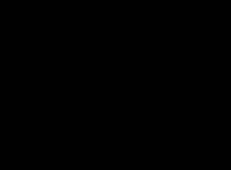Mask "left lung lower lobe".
<instances>
[{"label":"left lung lower lobe","instance_id":"obj_1","mask_svg":"<svg viewBox=\"0 0 231 170\" xmlns=\"http://www.w3.org/2000/svg\"><path fill=\"white\" fill-rule=\"evenodd\" d=\"M133 137L137 145L152 153H172L179 150L191 137L194 128L160 133L162 118L158 114L154 98L144 99L133 108Z\"/></svg>","mask_w":231,"mask_h":170}]
</instances>
